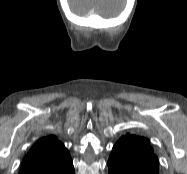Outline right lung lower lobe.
I'll return each mask as SVG.
<instances>
[{
    "instance_id": "98d812e1",
    "label": "right lung lower lobe",
    "mask_w": 187,
    "mask_h": 174,
    "mask_svg": "<svg viewBox=\"0 0 187 174\" xmlns=\"http://www.w3.org/2000/svg\"><path fill=\"white\" fill-rule=\"evenodd\" d=\"M68 174H74V170L72 172L68 173Z\"/></svg>"
}]
</instances>
